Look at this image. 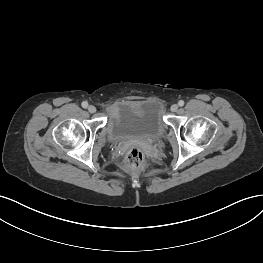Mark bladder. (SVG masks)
Masks as SVG:
<instances>
[{"instance_id":"bladder-1","label":"bladder","mask_w":263,"mask_h":263,"mask_svg":"<svg viewBox=\"0 0 263 263\" xmlns=\"http://www.w3.org/2000/svg\"><path fill=\"white\" fill-rule=\"evenodd\" d=\"M165 131L161 106L155 100L126 101L111 112L107 132L110 140L159 139Z\"/></svg>"}]
</instances>
